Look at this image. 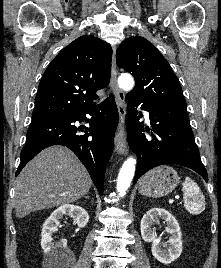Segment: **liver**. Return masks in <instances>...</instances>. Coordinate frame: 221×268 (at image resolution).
<instances>
[{"instance_id":"1","label":"liver","mask_w":221,"mask_h":268,"mask_svg":"<svg viewBox=\"0 0 221 268\" xmlns=\"http://www.w3.org/2000/svg\"><path fill=\"white\" fill-rule=\"evenodd\" d=\"M92 180L75 154L62 146L44 149L21 171L15 185V212H31L77 201L88 193Z\"/></svg>"}]
</instances>
